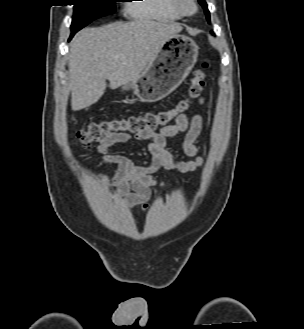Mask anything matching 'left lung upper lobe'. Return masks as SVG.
<instances>
[{"mask_svg":"<svg viewBox=\"0 0 304 329\" xmlns=\"http://www.w3.org/2000/svg\"><path fill=\"white\" fill-rule=\"evenodd\" d=\"M198 1H199V3L202 5V7L204 8V10H205V14H206V17H207V19H208V22H210L209 10H208V8H207V4H206L205 0H198Z\"/></svg>","mask_w":304,"mask_h":329,"instance_id":"5c2ea615","label":"left lung upper lobe"}]
</instances>
